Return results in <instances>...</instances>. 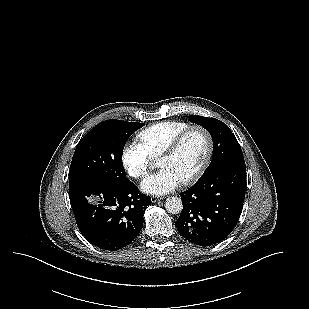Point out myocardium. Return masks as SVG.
<instances>
[{
    "instance_id": "1",
    "label": "myocardium",
    "mask_w": 309,
    "mask_h": 309,
    "mask_svg": "<svg viewBox=\"0 0 309 309\" xmlns=\"http://www.w3.org/2000/svg\"><path fill=\"white\" fill-rule=\"evenodd\" d=\"M194 131H200L205 136L206 143H207V151H206L205 158L202 164L200 165V167L191 176H189L188 178L182 181V183L185 185H188V184H191L197 181L208 168L211 162L212 156H213V151H214V142H213L211 133L203 126H200V125L190 126L184 131H182L179 135H177L161 154V158L170 157L176 154L179 148L181 147L182 143L184 142V140L187 138V136Z\"/></svg>"
}]
</instances>
